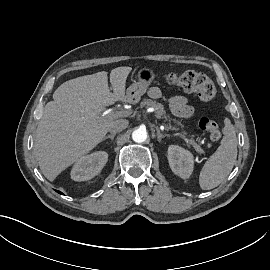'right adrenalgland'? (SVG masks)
<instances>
[{
  "instance_id": "right-adrenal-gland-1",
  "label": "right adrenal gland",
  "mask_w": 270,
  "mask_h": 270,
  "mask_svg": "<svg viewBox=\"0 0 270 270\" xmlns=\"http://www.w3.org/2000/svg\"><path fill=\"white\" fill-rule=\"evenodd\" d=\"M115 135H116V133H111V134L105 136V137L103 138V141L106 140V139H108V138L111 139V141H113Z\"/></svg>"
}]
</instances>
